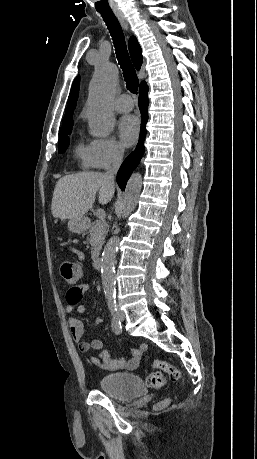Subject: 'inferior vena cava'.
<instances>
[{
  "label": "inferior vena cava",
  "instance_id": "602c4592",
  "mask_svg": "<svg viewBox=\"0 0 257 459\" xmlns=\"http://www.w3.org/2000/svg\"><path fill=\"white\" fill-rule=\"evenodd\" d=\"M123 160V150L117 148L114 152L113 159H112V167L105 173L107 178L114 184V179L117 174L118 169L121 166Z\"/></svg>",
  "mask_w": 257,
  "mask_h": 459
}]
</instances>
